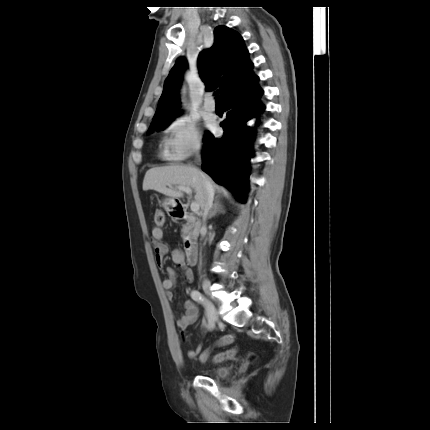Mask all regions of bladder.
I'll list each match as a JSON object with an SVG mask.
<instances>
[{"mask_svg":"<svg viewBox=\"0 0 430 430\" xmlns=\"http://www.w3.org/2000/svg\"><path fill=\"white\" fill-rule=\"evenodd\" d=\"M230 367L222 366L205 371V374L214 378H225L230 374Z\"/></svg>","mask_w":430,"mask_h":430,"instance_id":"bladder-1","label":"bladder"}]
</instances>
